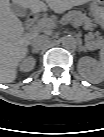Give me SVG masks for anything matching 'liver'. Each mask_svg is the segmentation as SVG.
<instances>
[{
    "label": "liver",
    "mask_w": 104,
    "mask_h": 137,
    "mask_svg": "<svg viewBox=\"0 0 104 137\" xmlns=\"http://www.w3.org/2000/svg\"><path fill=\"white\" fill-rule=\"evenodd\" d=\"M92 0H46L48 6L56 13H63L74 6ZM13 4L29 8L33 13L47 10L40 0H12ZM23 25L11 11L8 0H1L0 7V81L11 83L17 75L19 62L27 55L30 40L34 35L23 34Z\"/></svg>",
    "instance_id": "liver-1"
}]
</instances>
